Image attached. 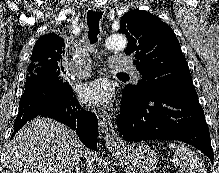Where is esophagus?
Segmentation results:
<instances>
[{
  "label": "esophagus",
  "instance_id": "esophagus-1",
  "mask_svg": "<svg viewBox=\"0 0 219 173\" xmlns=\"http://www.w3.org/2000/svg\"><path fill=\"white\" fill-rule=\"evenodd\" d=\"M94 10L102 12L105 11V7L102 5H95ZM99 128L107 146H116L121 142V139L115 133L113 122L109 116L103 114L99 117Z\"/></svg>",
  "mask_w": 219,
  "mask_h": 173
}]
</instances>
